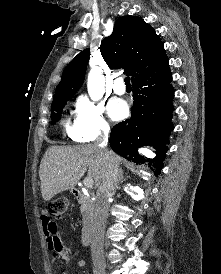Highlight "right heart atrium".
Wrapping results in <instances>:
<instances>
[{
	"label": "right heart atrium",
	"instance_id": "right-heart-atrium-1",
	"mask_svg": "<svg viewBox=\"0 0 221 274\" xmlns=\"http://www.w3.org/2000/svg\"><path fill=\"white\" fill-rule=\"evenodd\" d=\"M78 109L71 127V136L75 141L90 142L105 135L110 130L102 104L81 96Z\"/></svg>",
	"mask_w": 221,
	"mask_h": 274
}]
</instances>
